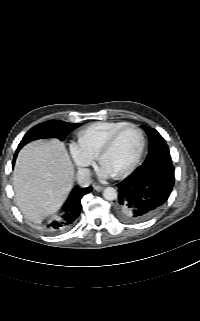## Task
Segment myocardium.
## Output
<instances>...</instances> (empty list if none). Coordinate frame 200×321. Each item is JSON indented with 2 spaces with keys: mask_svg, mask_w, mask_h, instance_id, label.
<instances>
[{
  "mask_svg": "<svg viewBox=\"0 0 200 321\" xmlns=\"http://www.w3.org/2000/svg\"><path fill=\"white\" fill-rule=\"evenodd\" d=\"M130 128H133L138 131V133L140 135V147H139V150H138L134 160L130 164V166L126 170H124L123 172H121L117 175H113L117 179H122V178L129 176L136 169V167L138 166V164L142 158V155L144 153L145 146H146V138H145L144 131L141 129V127H139L138 125L133 124V123H128L125 126L119 128L107 139V141L102 145V147L100 148V150L97 154V159H98L99 163H101L103 156L110 149H112V147L115 145V143L117 142L120 135L124 131H126L127 129H130Z\"/></svg>",
  "mask_w": 200,
  "mask_h": 321,
  "instance_id": "obj_1",
  "label": "myocardium"
}]
</instances>
